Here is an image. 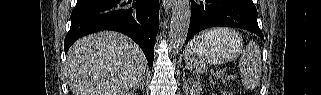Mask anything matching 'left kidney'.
I'll use <instances>...</instances> for the list:
<instances>
[{
	"mask_svg": "<svg viewBox=\"0 0 321 95\" xmlns=\"http://www.w3.org/2000/svg\"><path fill=\"white\" fill-rule=\"evenodd\" d=\"M199 91H200V90L193 89V90L191 91V95H198V94H199Z\"/></svg>",
	"mask_w": 321,
	"mask_h": 95,
	"instance_id": "1",
	"label": "left kidney"
}]
</instances>
